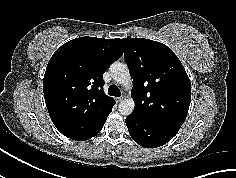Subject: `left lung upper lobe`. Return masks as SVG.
<instances>
[{
	"label": "left lung upper lobe",
	"mask_w": 236,
	"mask_h": 178,
	"mask_svg": "<svg viewBox=\"0 0 236 178\" xmlns=\"http://www.w3.org/2000/svg\"><path fill=\"white\" fill-rule=\"evenodd\" d=\"M124 57L133 78L131 115L180 129L190 100L191 82L175 53L144 38L122 39Z\"/></svg>",
	"instance_id": "left-lung-upper-lobe-1"
}]
</instances>
